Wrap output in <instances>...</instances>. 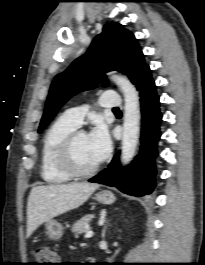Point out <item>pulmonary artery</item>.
Listing matches in <instances>:
<instances>
[{
	"mask_svg": "<svg viewBox=\"0 0 205 265\" xmlns=\"http://www.w3.org/2000/svg\"><path fill=\"white\" fill-rule=\"evenodd\" d=\"M121 104L122 100L115 91H106L101 95L100 105L104 108H119ZM85 114V107H74L66 110L63 116L78 127L82 124Z\"/></svg>",
	"mask_w": 205,
	"mask_h": 265,
	"instance_id": "pulmonary-artery-1",
	"label": "pulmonary artery"
}]
</instances>
